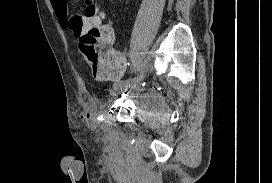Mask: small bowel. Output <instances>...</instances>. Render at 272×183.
<instances>
[{
	"instance_id": "1",
	"label": "small bowel",
	"mask_w": 272,
	"mask_h": 183,
	"mask_svg": "<svg viewBox=\"0 0 272 183\" xmlns=\"http://www.w3.org/2000/svg\"><path fill=\"white\" fill-rule=\"evenodd\" d=\"M51 4L53 6V9L58 19L61 21L63 25H66L67 0H51ZM110 28L114 32L113 27L110 26ZM117 54L119 56V59L115 68L104 77L96 76L98 79L112 81V80L118 79L119 77L123 75L125 71V58L122 55H120L118 52ZM85 117H89V114L88 116L85 115Z\"/></svg>"
}]
</instances>
